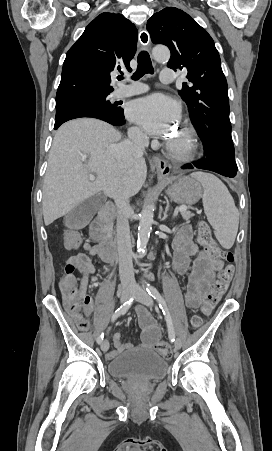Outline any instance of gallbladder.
<instances>
[{"label":"gallbladder","instance_id":"gallbladder-1","mask_svg":"<svg viewBox=\"0 0 272 451\" xmlns=\"http://www.w3.org/2000/svg\"><path fill=\"white\" fill-rule=\"evenodd\" d=\"M101 206L102 202H96L95 198H87V200L75 206L74 210L66 214L64 218L65 226L70 227V229H80V227L87 226Z\"/></svg>","mask_w":272,"mask_h":451}]
</instances>
